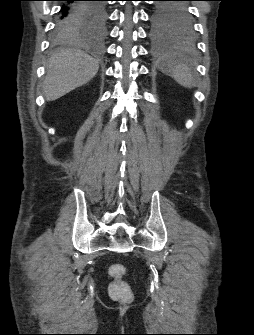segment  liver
Instances as JSON below:
<instances>
[{
    "instance_id": "obj_1",
    "label": "liver",
    "mask_w": 254,
    "mask_h": 335,
    "mask_svg": "<svg viewBox=\"0 0 254 335\" xmlns=\"http://www.w3.org/2000/svg\"><path fill=\"white\" fill-rule=\"evenodd\" d=\"M99 63L79 49H61L50 58L43 89L48 101H54L89 82Z\"/></svg>"
}]
</instances>
